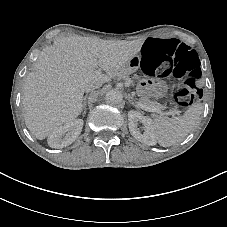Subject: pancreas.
<instances>
[{"instance_id": "cf45deb5", "label": "pancreas", "mask_w": 227, "mask_h": 227, "mask_svg": "<svg viewBox=\"0 0 227 227\" xmlns=\"http://www.w3.org/2000/svg\"><path fill=\"white\" fill-rule=\"evenodd\" d=\"M139 102L146 105V106L157 107L160 110V112H161V109H163V106L161 104L157 103L156 101H151L148 97H141L139 99Z\"/></svg>"}]
</instances>
